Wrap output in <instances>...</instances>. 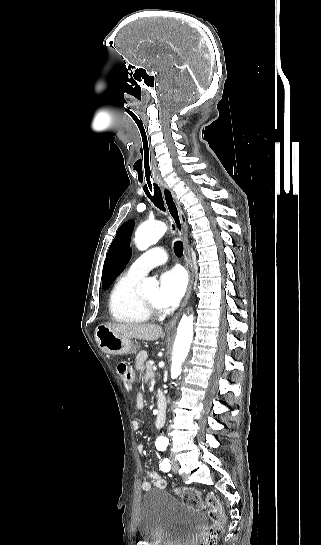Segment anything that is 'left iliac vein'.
Wrapping results in <instances>:
<instances>
[{
    "mask_svg": "<svg viewBox=\"0 0 321 545\" xmlns=\"http://www.w3.org/2000/svg\"><path fill=\"white\" fill-rule=\"evenodd\" d=\"M171 469L174 473L179 471V464L174 459L171 460Z\"/></svg>",
    "mask_w": 321,
    "mask_h": 545,
    "instance_id": "4c4485c4",
    "label": "left iliac vein"
}]
</instances>
